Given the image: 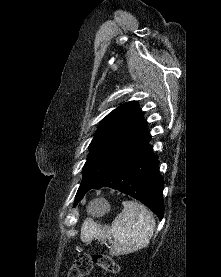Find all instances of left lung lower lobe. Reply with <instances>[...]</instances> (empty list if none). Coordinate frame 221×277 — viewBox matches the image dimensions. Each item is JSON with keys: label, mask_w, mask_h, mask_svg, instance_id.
I'll return each instance as SVG.
<instances>
[{"label": "left lung lower lobe", "mask_w": 221, "mask_h": 277, "mask_svg": "<svg viewBox=\"0 0 221 277\" xmlns=\"http://www.w3.org/2000/svg\"><path fill=\"white\" fill-rule=\"evenodd\" d=\"M157 157L147 144L125 165L76 196L74 206L90 189L110 187L128 194L151 209L161 220L164 215L163 177L157 171Z\"/></svg>", "instance_id": "obj_1"}]
</instances>
